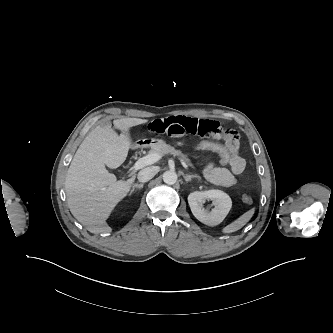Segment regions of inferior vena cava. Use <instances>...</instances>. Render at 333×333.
<instances>
[{
  "label": "inferior vena cava",
  "instance_id": "obj_1",
  "mask_svg": "<svg viewBox=\"0 0 333 333\" xmlns=\"http://www.w3.org/2000/svg\"><path fill=\"white\" fill-rule=\"evenodd\" d=\"M156 173L157 169L155 167H147L138 173L137 178L140 182L144 183L152 179Z\"/></svg>",
  "mask_w": 333,
  "mask_h": 333
}]
</instances>
